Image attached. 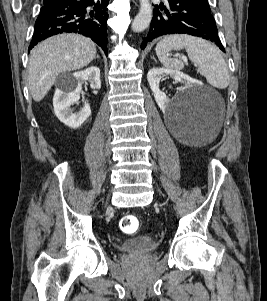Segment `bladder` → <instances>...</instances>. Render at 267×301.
Wrapping results in <instances>:
<instances>
[{"mask_svg":"<svg viewBox=\"0 0 267 301\" xmlns=\"http://www.w3.org/2000/svg\"><path fill=\"white\" fill-rule=\"evenodd\" d=\"M157 248V241L149 235H138L123 241L119 250L125 253H148Z\"/></svg>","mask_w":267,"mask_h":301,"instance_id":"31cf9c89","label":"bladder"}]
</instances>
